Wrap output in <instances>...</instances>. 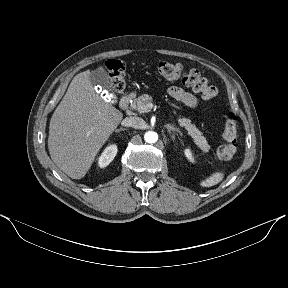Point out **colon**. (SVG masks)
<instances>
[{
	"mask_svg": "<svg viewBox=\"0 0 288 288\" xmlns=\"http://www.w3.org/2000/svg\"><path fill=\"white\" fill-rule=\"evenodd\" d=\"M106 68L111 77L114 90L117 92L123 91L126 86L124 63L120 60L110 59L106 62ZM158 72L167 80L180 79L185 85L200 93L206 100L214 99L218 95L217 88L194 68H184L181 64L162 62L158 65ZM236 125V116L233 113L229 114L225 120L221 144L217 149V155L220 159L229 160L235 155Z\"/></svg>",
	"mask_w": 288,
	"mask_h": 288,
	"instance_id": "obj_1",
	"label": "colon"
}]
</instances>
